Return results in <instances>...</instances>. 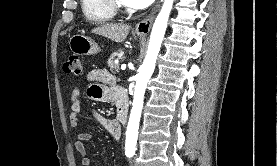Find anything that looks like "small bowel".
<instances>
[{"instance_id": "c3829d8e", "label": "small bowel", "mask_w": 277, "mask_h": 166, "mask_svg": "<svg viewBox=\"0 0 277 166\" xmlns=\"http://www.w3.org/2000/svg\"><path fill=\"white\" fill-rule=\"evenodd\" d=\"M90 86L87 91L89 98L95 101L111 103L115 102V94L119 89L116 79L106 69H93L87 74ZM83 96L78 88L71 94L69 110L70 126L76 128L79 124V115L82 109ZM91 119L105 129L109 135L117 140L120 136V127L116 120L105 118L96 112H91ZM92 135L88 132L78 133L74 142V148L79 154L83 166H95L93 160L87 155L85 143L91 140Z\"/></svg>"}]
</instances>
